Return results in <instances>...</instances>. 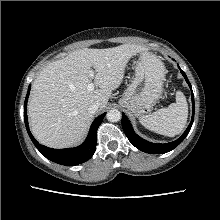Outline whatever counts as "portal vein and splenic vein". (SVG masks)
I'll use <instances>...</instances> for the list:
<instances>
[{"instance_id":"1","label":"portal vein and splenic vein","mask_w":220,"mask_h":220,"mask_svg":"<svg viewBox=\"0 0 220 220\" xmlns=\"http://www.w3.org/2000/svg\"><path fill=\"white\" fill-rule=\"evenodd\" d=\"M94 74H95V72L91 70V71H90V76H91V77H94ZM94 88H95L94 83H90V84L87 86V90H88L89 92L93 91Z\"/></svg>"}]
</instances>
